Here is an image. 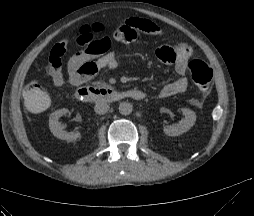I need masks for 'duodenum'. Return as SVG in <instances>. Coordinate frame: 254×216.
<instances>
[{"label":"duodenum","instance_id":"obj_1","mask_svg":"<svg viewBox=\"0 0 254 216\" xmlns=\"http://www.w3.org/2000/svg\"><path fill=\"white\" fill-rule=\"evenodd\" d=\"M76 97L82 102L100 101L115 102L122 98L143 99L144 95L136 89L117 90L109 87H80L76 92Z\"/></svg>","mask_w":254,"mask_h":216}]
</instances>
